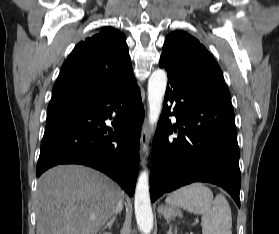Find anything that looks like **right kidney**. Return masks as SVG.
<instances>
[{
    "label": "right kidney",
    "mask_w": 279,
    "mask_h": 234,
    "mask_svg": "<svg viewBox=\"0 0 279 234\" xmlns=\"http://www.w3.org/2000/svg\"><path fill=\"white\" fill-rule=\"evenodd\" d=\"M104 234H111V233L106 232V233H104Z\"/></svg>",
    "instance_id": "1"
}]
</instances>
